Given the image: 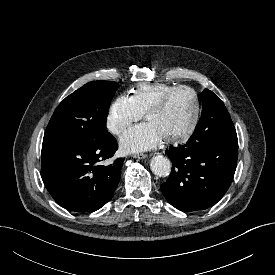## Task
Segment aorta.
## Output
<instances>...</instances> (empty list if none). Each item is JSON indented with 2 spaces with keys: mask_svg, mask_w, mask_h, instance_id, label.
I'll list each match as a JSON object with an SVG mask.
<instances>
[{
  "mask_svg": "<svg viewBox=\"0 0 275 275\" xmlns=\"http://www.w3.org/2000/svg\"><path fill=\"white\" fill-rule=\"evenodd\" d=\"M150 169L155 175L165 177L171 172V162L168 158L157 155L151 159Z\"/></svg>",
  "mask_w": 275,
  "mask_h": 275,
  "instance_id": "obj_1",
  "label": "aorta"
}]
</instances>
